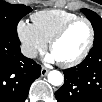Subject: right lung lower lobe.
Returning <instances> with one entry per match:
<instances>
[{
    "label": "right lung lower lobe",
    "instance_id": "1",
    "mask_svg": "<svg viewBox=\"0 0 102 102\" xmlns=\"http://www.w3.org/2000/svg\"><path fill=\"white\" fill-rule=\"evenodd\" d=\"M41 66L20 51L18 36H0V101L24 102Z\"/></svg>",
    "mask_w": 102,
    "mask_h": 102
}]
</instances>
